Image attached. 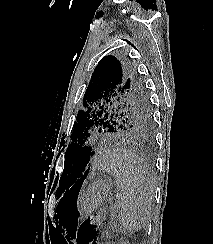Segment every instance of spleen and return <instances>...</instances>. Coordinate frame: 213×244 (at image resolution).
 I'll return each instance as SVG.
<instances>
[{"label": "spleen", "mask_w": 213, "mask_h": 244, "mask_svg": "<svg viewBox=\"0 0 213 244\" xmlns=\"http://www.w3.org/2000/svg\"><path fill=\"white\" fill-rule=\"evenodd\" d=\"M101 166L115 177L118 190L115 201L121 228L139 231L150 219L154 187L149 170L130 152H114L102 160Z\"/></svg>", "instance_id": "spleen-1"}]
</instances>
